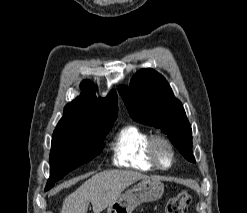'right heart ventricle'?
<instances>
[{"mask_svg":"<svg viewBox=\"0 0 247 213\" xmlns=\"http://www.w3.org/2000/svg\"><path fill=\"white\" fill-rule=\"evenodd\" d=\"M151 135L136 125L123 126L111 144L113 161L117 166L138 171L158 169L148 155Z\"/></svg>","mask_w":247,"mask_h":213,"instance_id":"obj_1","label":"right heart ventricle"}]
</instances>
